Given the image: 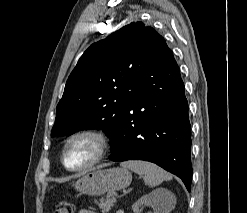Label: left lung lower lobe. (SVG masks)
Returning a JSON list of instances; mask_svg holds the SVG:
<instances>
[{"instance_id": "left-lung-lower-lobe-1", "label": "left lung lower lobe", "mask_w": 247, "mask_h": 213, "mask_svg": "<svg viewBox=\"0 0 247 213\" xmlns=\"http://www.w3.org/2000/svg\"><path fill=\"white\" fill-rule=\"evenodd\" d=\"M190 132L184 84L170 51L129 100L109 159L153 162L180 177L190 191Z\"/></svg>"}]
</instances>
